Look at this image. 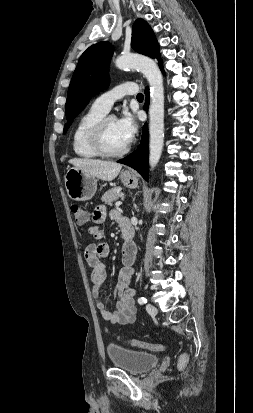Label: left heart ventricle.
I'll use <instances>...</instances> for the list:
<instances>
[{
    "mask_svg": "<svg viewBox=\"0 0 253 413\" xmlns=\"http://www.w3.org/2000/svg\"><path fill=\"white\" fill-rule=\"evenodd\" d=\"M104 142L106 147L112 151L120 150L127 145L117 130L114 118L109 119L105 124Z\"/></svg>",
    "mask_w": 253,
    "mask_h": 413,
    "instance_id": "obj_1",
    "label": "left heart ventricle"
}]
</instances>
